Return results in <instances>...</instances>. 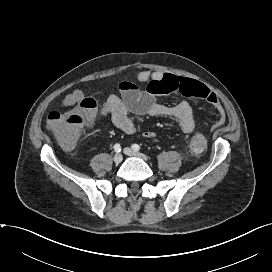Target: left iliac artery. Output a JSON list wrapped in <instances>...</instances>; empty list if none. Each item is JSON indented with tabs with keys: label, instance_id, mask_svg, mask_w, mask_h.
Returning <instances> with one entry per match:
<instances>
[{
	"label": "left iliac artery",
	"instance_id": "1",
	"mask_svg": "<svg viewBox=\"0 0 272 272\" xmlns=\"http://www.w3.org/2000/svg\"><path fill=\"white\" fill-rule=\"evenodd\" d=\"M132 148H133V150H135V151H139V150H140V146H139L138 144H133V145H132Z\"/></svg>",
	"mask_w": 272,
	"mask_h": 272
}]
</instances>
